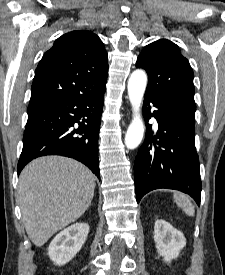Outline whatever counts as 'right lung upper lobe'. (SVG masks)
I'll return each instance as SVG.
<instances>
[{
    "label": "right lung upper lobe",
    "mask_w": 225,
    "mask_h": 275,
    "mask_svg": "<svg viewBox=\"0 0 225 275\" xmlns=\"http://www.w3.org/2000/svg\"><path fill=\"white\" fill-rule=\"evenodd\" d=\"M107 74L108 55L99 37L86 30L66 33L39 62L28 108L97 92Z\"/></svg>",
    "instance_id": "right-lung-upper-lobe-1"
}]
</instances>
